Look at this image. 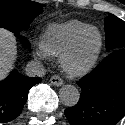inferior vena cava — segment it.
I'll use <instances>...</instances> for the list:
<instances>
[{
	"label": "inferior vena cava",
	"mask_w": 125,
	"mask_h": 125,
	"mask_svg": "<svg viewBox=\"0 0 125 125\" xmlns=\"http://www.w3.org/2000/svg\"><path fill=\"white\" fill-rule=\"evenodd\" d=\"M26 75L29 77H43L45 75V68L44 66L37 61H31L26 65L25 68Z\"/></svg>",
	"instance_id": "inferior-vena-cava-1"
}]
</instances>
